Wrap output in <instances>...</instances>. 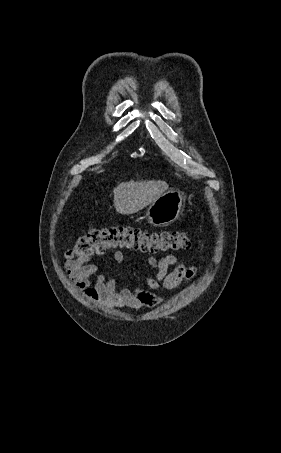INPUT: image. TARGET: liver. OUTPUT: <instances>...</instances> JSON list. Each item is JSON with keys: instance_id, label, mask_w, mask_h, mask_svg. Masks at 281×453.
<instances>
[{"instance_id": "liver-1", "label": "liver", "mask_w": 281, "mask_h": 453, "mask_svg": "<svg viewBox=\"0 0 281 453\" xmlns=\"http://www.w3.org/2000/svg\"><path fill=\"white\" fill-rule=\"evenodd\" d=\"M168 186L169 184L165 180L120 182L113 190L114 206L120 214H133L159 198Z\"/></svg>"}]
</instances>
